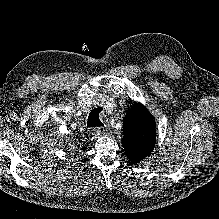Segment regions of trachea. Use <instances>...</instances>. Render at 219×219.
Returning <instances> with one entry per match:
<instances>
[{
    "mask_svg": "<svg viewBox=\"0 0 219 219\" xmlns=\"http://www.w3.org/2000/svg\"><path fill=\"white\" fill-rule=\"evenodd\" d=\"M102 111L101 107H97L95 109H93L89 116H88V120H87V126L88 127H100L103 126V123L101 122V120L99 119V113Z\"/></svg>",
    "mask_w": 219,
    "mask_h": 219,
    "instance_id": "obj_1",
    "label": "trachea"
}]
</instances>
